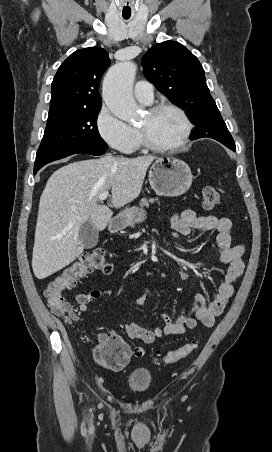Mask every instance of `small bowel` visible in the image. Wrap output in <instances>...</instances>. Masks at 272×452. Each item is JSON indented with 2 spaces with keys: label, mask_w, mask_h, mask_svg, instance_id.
<instances>
[{
  "label": "small bowel",
  "mask_w": 272,
  "mask_h": 452,
  "mask_svg": "<svg viewBox=\"0 0 272 452\" xmlns=\"http://www.w3.org/2000/svg\"><path fill=\"white\" fill-rule=\"evenodd\" d=\"M171 226L175 232L183 236H188L193 231H216L218 233L217 254L219 260L228 265V270L213 300L208 301L203 295H197L195 305L189 315L171 317L163 314L161 316L163 325L155 329H148L136 322L127 323L125 325L127 336L131 339L141 340L145 344H152L156 339L164 336L183 334L188 329H194L198 322H201L205 326H212L215 318L224 311L229 299L234 293L235 282L243 275L245 269L243 261V256L246 251L245 246L242 244L232 245L231 219L213 215H202L194 210H185L181 214L175 213L172 215ZM150 292L151 289L146 287L136 299V304L139 306L144 305ZM109 295H111V291L108 289H94L88 293H78L75 299L79 305V311L84 313L89 311L92 301ZM63 318L70 324L76 323L80 319L75 311H71L68 315L63 316ZM104 335L121 338L117 332L111 331L110 334H100L98 340ZM126 348L128 349L127 346Z\"/></svg>",
  "instance_id": "1"
}]
</instances>
